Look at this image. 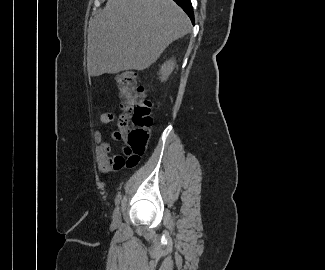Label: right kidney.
<instances>
[{"mask_svg":"<svg viewBox=\"0 0 325 270\" xmlns=\"http://www.w3.org/2000/svg\"><path fill=\"white\" fill-rule=\"evenodd\" d=\"M175 61L174 59H171L164 63L160 69V75H161V80L164 81L168 78V76L172 73L174 69Z\"/></svg>","mask_w":325,"mask_h":270,"instance_id":"1","label":"right kidney"}]
</instances>
